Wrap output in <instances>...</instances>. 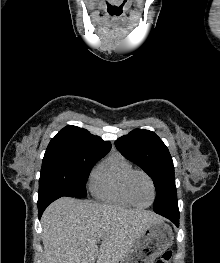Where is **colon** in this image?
Wrapping results in <instances>:
<instances>
[{
    "instance_id": "5ec220e1",
    "label": "colon",
    "mask_w": 220,
    "mask_h": 263,
    "mask_svg": "<svg viewBox=\"0 0 220 263\" xmlns=\"http://www.w3.org/2000/svg\"><path fill=\"white\" fill-rule=\"evenodd\" d=\"M172 259V251L167 250L163 253L160 259L156 261V263H170Z\"/></svg>"
}]
</instances>
